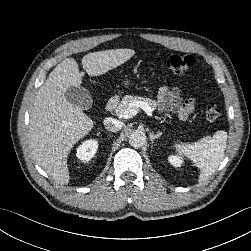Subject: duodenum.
I'll return each mask as SVG.
<instances>
[{
  "instance_id": "1",
  "label": "duodenum",
  "mask_w": 251,
  "mask_h": 251,
  "mask_svg": "<svg viewBox=\"0 0 251 251\" xmlns=\"http://www.w3.org/2000/svg\"><path fill=\"white\" fill-rule=\"evenodd\" d=\"M117 104H118V99L116 97H113L105 104L104 109L106 112H110L115 109Z\"/></svg>"
}]
</instances>
